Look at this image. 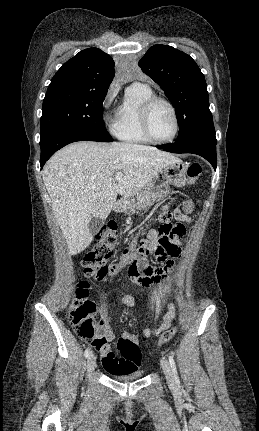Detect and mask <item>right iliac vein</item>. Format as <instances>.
I'll return each instance as SVG.
<instances>
[{
	"label": "right iliac vein",
	"instance_id": "obj_1",
	"mask_svg": "<svg viewBox=\"0 0 259 431\" xmlns=\"http://www.w3.org/2000/svg\"><path fill=\"white\" fill-rule=\"evenodd\" d=\"M95 367H96V357H95L94 354H91L88 357V360H87V370H88V373L89 374L92 373L93 370L95 369Z\"/></svg>",
	"mask_w": 259,
	"mask_h": 431
}]
</instances>
